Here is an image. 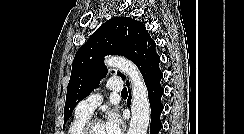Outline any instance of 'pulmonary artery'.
<instances>
[{"label": "pulmonary artery", "mask_w": 244, "mask_h": 134, "mask_svg": "<svg viewBox=\"0 0 244 134\" xmlns=\"http://www.w3.org/2000/svg\"><path fill=\"white\" fill-rule=\"evenodd\" d=\"M107 87L112 92H122L123 82L118 78H113L108 81ZM101 103L99 94H92L83 99L76 107V113L84 116H91L95 108Z\"/></svg>", "instance_id": "e3ab8cb5"}]
</instances>
